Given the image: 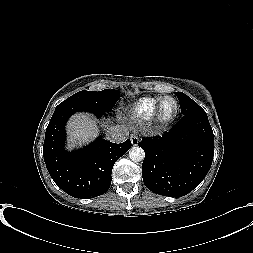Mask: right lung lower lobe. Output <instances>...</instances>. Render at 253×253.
<instances>
[{"instance_id": "right-lung-lower-lobe-1", "label": "right lung lower lobe", "mask_w": 253, "mask_h": 253, "mask_svg": "<svg viewBox=\"0 0 253 253\" xmlns=\"http://www.w3.org/2000/svg\"><path fill=\"white\" fill-rule=\"evenodd\" d=\"M79 111L97 116L106 114L83 105L59 104L46 129L43 156L58 187L75 198L89 199L109 189L113 165L130 149L131 141L115 144L98 137L82 150L67 152L64 149L65 124L72 114Z\"/></svg>"}]
</instances>
